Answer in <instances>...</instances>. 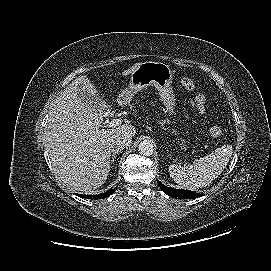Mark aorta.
Here are the masks:
<instances>
[{
    "mask_svg": "<svg viewBox=\"0 0 271 271\" xmlns=\"http://www.w3.org/2000/svg\"><path fill=\"white\" fill-rule=\"evenodd\" d=\"M138 149L141 155L150 156L153 154L154 146L152 142L143 140L139 143Z\"/></svg>",
    "mask_w": 271,
    "mask_h": 271,
    "instance_id": "aorta-1",
    "label": "aorta"
}]
</instances>
